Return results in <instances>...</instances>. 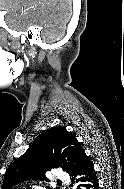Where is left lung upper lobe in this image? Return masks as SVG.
Instances as JSON below:
<instances>
[{"label":"left lung upper lobe","mask_w":124,"mask_h":189,"mask_svg":"<svg viewBox=\"0 0 124 189\" xmlns=\"http://www.w3.org/2000/svg\"><path fill=\"white\" fill-rule=\"evenodd\" d=\"M85 155L74 134L64 127H53L36 137L28 150L10 165L2 189H11L29 178L46 180L44 172L57 167L71 175L80 167Z\"/></svg>","instance_id":"obj_1"}]
</instances>
